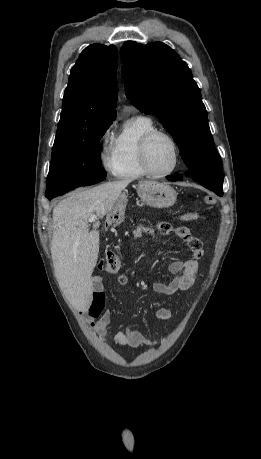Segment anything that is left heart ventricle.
<instances>
[{
	"label": "left heart ventricle",
	"instance_id": "left-heart-ventricle-1",
	"mask_svg": "<svg viewBox=\"0 0 261 459\" xmlns=\"http://www.w3.org/2000/svg\"><path fill=\"white\" fill-rule=\"evenodd\" d=\"M149 162L153 171L164 173L174 164V149L171 142L163 137H156L149 149Z\"/></svg>",
	"mask_w": 261,
	"mask_h": 459
}]
</instances>
